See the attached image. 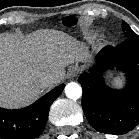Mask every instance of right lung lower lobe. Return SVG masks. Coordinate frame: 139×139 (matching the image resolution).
<instances>
[{
    "label": "right lung lower lobe",
    "instance_id": "right-lung-lower-lobe-1",
    "mask_svg": "<svg viewBox=\"0 0 139 139\" xmlns=\"http://www.w3.org/2000/svg\"><path fill=\"white\" fill-rule=\"evenodd\" d=\"M64 86L59 85L28 107L17 110L0 108V138L34 139L39 136L46 125L50 106Z\"/></svg>",
    "mask_w": 139,
    "mask_h": 139
}]
</instances>
